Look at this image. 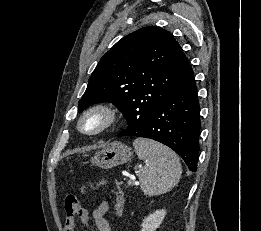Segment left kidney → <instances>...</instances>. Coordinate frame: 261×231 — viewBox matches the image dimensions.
Returning <instances> with one entry per match:
<instances>
[{
    "instance_id": "5707ae66",
    "label": "left kidney",
    "mask_w": 261,
    "mask_h": 231,
    "mask_svg": "<svg viewBox=\"0 0 261 231\" xmlns=\"http://www.w3.org/2000/svg\"><path fill=\"white\" fill-rule=\"evenodd\" d=\"M165 214L166 211L164 209L156 210L153 214H150L149 216L144 218L143 223L141 225V231H156V229L162 223Z\"/></svg>"
}]
</instances>
